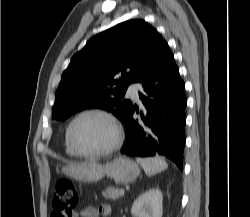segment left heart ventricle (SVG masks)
<instances>
[{
    "label": "left heart ventricle",
    "instance_id": "left-heart-ventricle-1",
    "mask_svg": "<svg viewBox=\"0 0 250 217\" xmlns=\"http://www.w3.org/2000/svg\"><path fill=\"white\" fill-rule=\"evenodd\" d=\"M72 138L79 150L93 153L108 147L113 132L109 122L98 115H88L76 122Z\"/></svg>",
    "mask_w": 250,
    "mask_h": 217
}]
</instances>
